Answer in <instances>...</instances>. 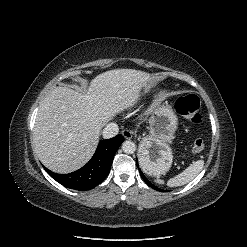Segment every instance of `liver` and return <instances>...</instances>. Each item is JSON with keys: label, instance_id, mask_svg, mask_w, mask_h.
Returning <instances> with one entry per match:
<instances>
[{"label": "liver", "instance_id": "6515ba94", "mask_svg": "<svg viewBox=\"0 0 247 247\" xmlns=\"http://www.w3.org/2000/svg\"><path fill=\"white\" fill-rule=\"evenodd\" d=\"M152 78L134 69L97 75L84 92L53 89L41 102L34 128L40 161L56 173H70L92 157L100 129L116 114L133 107Z\"/></svg>", "mask_w": 247, "mask_h": 247}]
</instances>
